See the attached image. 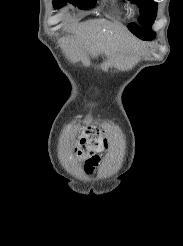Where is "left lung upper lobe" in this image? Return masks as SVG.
Wrapping results in <instances>:
<instances>
[{
    "label": "left lung upper lobe",
    "instance_id": "1",
    "mask_svg": "<svg viewBox=\"0 0 183 246\" xmlns=\"http://www.w3.org/2000/svg\"><path fill=\"white\" fill-rule=\"evenodd\" d=\"M133 3H136L140 7L141 16L139 18V23L144 26V29H141L136 24H129V30L136 35L138 38L143 40L151 39L153 36L152 33L147 34L148 31H151V25L154 23L156 17L157 3L153 0H131Z\"/></svg>",
    "mask_w": 183,
    "mask_h": 246
}]
</instances>
